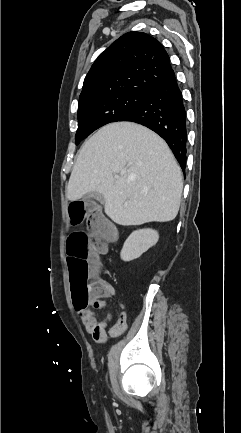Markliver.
<instances>
[{
    "mask_svg": "<svg viewBox=\"0 0 241 433\" xmlns=\"http://www.w3.org/2000/svg\"><path fill=\"white\" fill-rule=\"evenodd\" d=\"M182 190V172L166 142L142 125L115 122L79 150L66 197L73 202L101 193L106 215L129 226L175 219Z\"/></svg>",
    "mask_w": 241,
    "mask_h": 433,
    "instance_id": "liver-1",
    "label": "liver"
}]
</instances>
